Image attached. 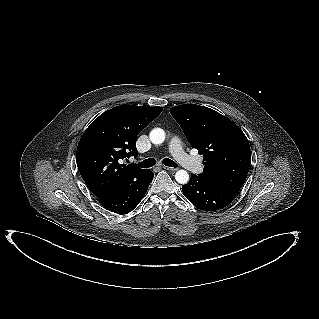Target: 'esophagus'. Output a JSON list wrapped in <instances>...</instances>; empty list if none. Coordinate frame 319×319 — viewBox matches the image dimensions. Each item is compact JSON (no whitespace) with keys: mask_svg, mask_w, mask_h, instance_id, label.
<instances>
[{"mask_svg":"<svg viewBox=\"0 0 319 319\" xmlns=\"http://www.w3.org/2000/svg\"><path fill=\"white\" fill-rule=\"evenodd\" d=\"M163 168H164L165 170H167V171H172V172H174V171L177 170V168L169 167V166H163Z\"/></svg>","mask_w":319,"mask_h":319,"instance_id":"esophagus-1","label":"esophagus"}]
</instances>
